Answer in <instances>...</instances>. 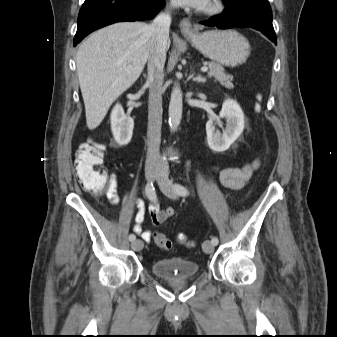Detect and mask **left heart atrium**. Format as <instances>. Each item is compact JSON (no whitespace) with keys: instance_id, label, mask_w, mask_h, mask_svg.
Returning <instances> with one entry per match:
<instances>
[{"instance_id":"1","label":"left heart atrium","mask_w":337,"mask_h":337,"mask_svg":"<svg viewBox=\"0 0 337 337\" xmlns=\"http://www.w3.org/2000/svg\"><path fill=\"white\" fill-rule=\"evenodd\" d=\"M173 1L180 6H187L201 9L206 7L209 4L210 0H173Z\"/></svg>"}]
</instances>
